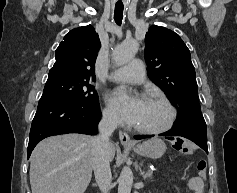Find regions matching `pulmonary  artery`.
<instances>
[{"label": "pulmonary artery", "mask_w": 237, "mask_h": 193, "mask_svg": "<svg viewBox=\"0 0 237 193\" xmlns=\"http://www.w3.org/2000/svg\"><path fill=\"white\" fill-rule=\"evenodd\" d=\"M109 79L116 82L141 84L145 79L143 62L139 59H135L128 65L112 72L109 75Z\"/></svg>", "instance_id": "1"}]
</instances>
